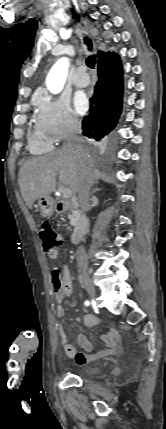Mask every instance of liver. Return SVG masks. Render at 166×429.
<instances>
[{"mask_svg": "<svg viewBox=\"0 0 166 429\" xmlns=\"http://www.w3.org/2000/svg\"><path fill=\"white\" fill-rule=\"evenodd\" d=\"M89 165L91 157L83 148ZM81 160L68 149H58L50 154L24 162L19 171V186L29 208L40 197L49 196L56 187L68 186L72 192L79 191Z\"/></svg>", "mask_w": 166, "mask_h": 429, "instance_id": "6515ba94", "label": "liver"}]
</instances>
